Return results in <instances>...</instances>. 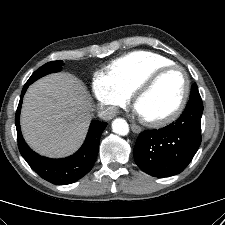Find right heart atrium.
Returning a JSON list of instances; mask_svg holds the SVG:
<instances>
[{"instance_id": "obj_1", "label": "right heart atrium", "mask_w": 225, "mask_h": 225, "mask_svg": "<svg viewBox=\"0 0 225 225\" xmlns=\"http://www.w3.org/2000/svg\"><path fill=\"white\" fill-rule=\"evenodd\" d=\"M92 91L97 101L111 113L126 106L130 100V96L123 92L108 74L103 72L95 73L92 80Z\"/></svg>"}]
</instances>
